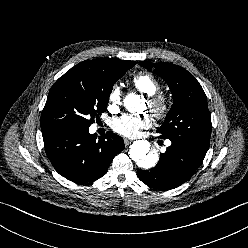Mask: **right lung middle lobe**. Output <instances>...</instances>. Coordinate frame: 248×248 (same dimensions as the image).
<instances>
[{"label": "right lung middle lobe", "instance_id": "1", "mask_svg": "<svg viewBox=\"0 0 248 248\" xmlns=\"http://www.w3.org/2000/svg\"><path fill=\"white\" fill-rule=\"evenodd\" d=\"M128 69L114 75L94 71L65 73L49 91L41 114V130L89 128L94 119L106 110L114 83Z\"/></svg>", "mask_w": 248, "mask_h": 248}]
</instances>
